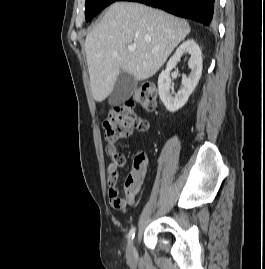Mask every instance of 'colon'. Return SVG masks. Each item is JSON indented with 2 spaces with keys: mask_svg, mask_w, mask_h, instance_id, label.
Here are the masks:
<instances>
[{
  "mask_svg": "<svg viewBox=\"0 0 265 269\" xmlns=\"http://www.w3.org/2000/svg\"><path fill=\"white\" fill-rule=\"evenodd\" d=\"M156 98V86L146 83L140 87L131 100L113 107L103 123L105 140L113 143L130 135L133 130H142L145 122L136 115L135 107L139 105L146 111H152L156 108Z\"/></svg>",
  "mask_w": 265,
  "mask_h": 269,
  "instance_id": "colon-1",
  "label": "colon"
}]
</instances>
